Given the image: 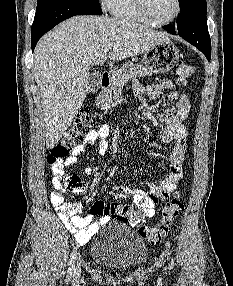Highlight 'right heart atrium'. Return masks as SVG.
<instances>
[{"instance_id": "d8ad5b80", "label": "right heart atrium", "mask_w": 233, "mask_h": 286, "mask_svg": "<svg viewBox=\"0 0 233 286\" xmlns=\"http://www.w3.org/2000/svg\"><path fill=\"white\" fill-rule=\"evenodd\" d=\"M101 2L104 7H107L108 0H101Z\"/></svg>"}]
</instances>
